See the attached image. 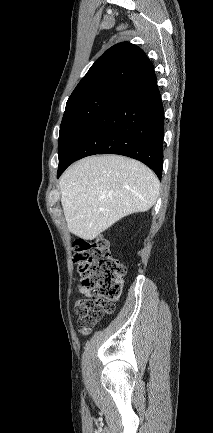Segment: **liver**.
I'll return each instance as SVG.
<instances>
[{"label":"liver","mask_w":213,"mask_h":433,"mask_svg":"<svg viewBox=\"0 0 213 433\" xmlns=\"http://www.w3.org/2000/svg\"><path fill=\"white\" fill-rule=\"evenodd\" d=\"M70 231L93 240L125 216L146 212L159 195L154 172L119 155L91 156L71 165L59 181Z\"/></svg>","instance_id":"6515ba94"}]
</instances>
